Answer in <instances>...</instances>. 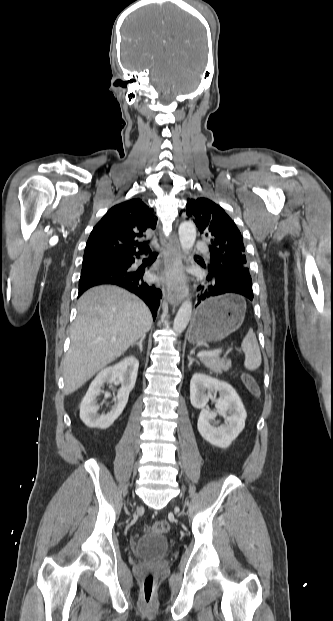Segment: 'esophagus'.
Returning <instances> with one entry per match:
<instances>
[{"mask_svg": "<svg viewBox=\"0 0 333 621\" xmlns=\"http://www.w3.org/2000/svg\"><path fill=\"white\" fill-rule=\"evenodd\" d=\"M181 264L182 256L179 242L176 235H172L169 238V244L165 250V266L168 278L167 299L169 303L174 306L179 305L187 294L184 279L180 277L177 281L173 279L170 274L171 267L181 266Z\"/></svg>", "mask_w": 333, "mask_h": 621, "instance_id": "34e87169", "label": "esophagus"}]
</instances>
